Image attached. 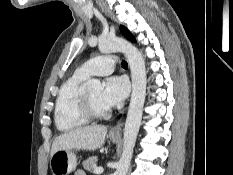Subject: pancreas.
<instances>
[{
  "label": "pancreas",
  "instance_id": "1",
  "mask_svg": "<svg viewBox=\"0 0 233 175\" xmlns=\"http://www.w3.org/2000/svg\"><path fill=\"white\" fill-rule=\"evenodd\" d=\"M98 161L97 156H91L83 161V167L85 170L93 172L96 168V162Z\"/></svg>",
  "mask_w": 233,
  "mask_h": 175
}]
</instances>
